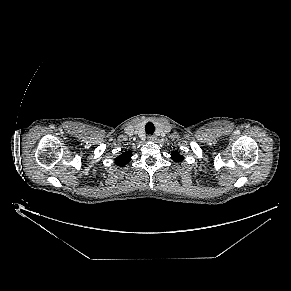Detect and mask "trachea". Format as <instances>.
<instances>
[{
    "instance_id": "trachea-1",
    "label": "trachea",
    "mask_w": 291,
    "mask_h": 291,
    "mask_svg": "<svg viewBox=\"0 0 291 291\" xmlns=\"http://www.w3.org/2000/svg\"><path fill=\"white\" fill-rule=\"evenodd\" d=\"M145 130L147 134L152 135L155 130L154 124L152 122H148L145 126Z\"/></svg>"
}]
</instances>
